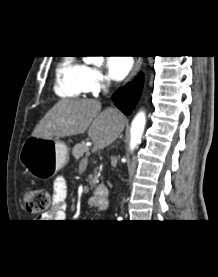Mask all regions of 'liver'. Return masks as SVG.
<instances>
[{
  "mask_svg": "<svg viewBox=\"0 0 218 277\" xmlns=\"http://www.w3.org/2000/svg\"><path fill=\"white\" fill-rule=\"evenodd\" d=\"M123 129V117L116 109L101 111V103L95 99H63L39 121L32 136L59 139L87 131L94 149L98 150L114 142Z\"/></svg>",
  "mask_w": 218,
  "mask_h": 277,
  "instance_id": "obj_1",
  "label": "liver"
}]
</instances>
